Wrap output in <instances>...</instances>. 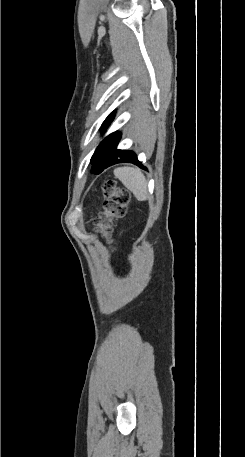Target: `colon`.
I'll list each match as a JSON object with an SVG mask.
<instances>
[{"label":"colon","instance_id":"5ec220e1","mask_svg":"<svg viewBox=\"0 0 245 457\" xmlns=\"http://www.w3.org/2000/svg\"><path fill=\"white\" fill-rule=\"evenodd\" d=\"M102 190L104 208L97 217L96 226L101 238L110 242L113 221L126 215L130 196L127 190L118 187L116 181L112 179L104 182Z\"/></svg>","mask_w":245,"mask_h":457}]
</instances>
